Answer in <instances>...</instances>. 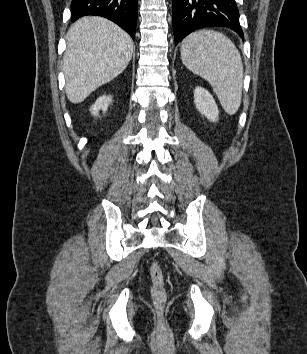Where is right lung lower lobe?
Listing matches in <instances>:
<instances>
[{
	"instance_id": "1",
	"label": "right lung lower lobe",
	"mask_w": 307,
	"mask_h": 354,
	"mask_svg": "<svg viewBox=\"0 0 307 354\" xmlns=\"http://www.w3.org/2000/svg\"><path fill=\"white\" fill-rule=\"evenodd\" d=\"M137 0H72V21L85 15L103 16L128 32L134 39Z\"/></svg>"
}]
</instances>
